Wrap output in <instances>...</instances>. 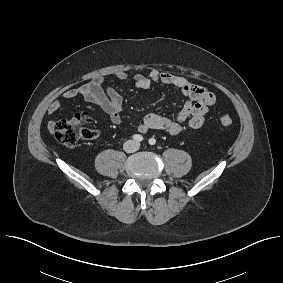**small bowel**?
<instances>
[{"instance_id": "1", "label": "small bowel", "mask_w": 283, "mask_h": 283, "mask_svg": "<svg viewBox=\"0 0 283 283\" xmlns=\"http://www.w3.org/2000/svg\"><path fill=\"white\" fill-rule=\"evenodd\" d=\"M114 76L119 80L131 78L138 88H148L154 83L165 84L177 89L186 98L182 109L172 119L154 112L146 114L137 126L138 132L142 134L156 129L170 135H179L187 129H199L204 124L209 109L215 103V96L209 89L173 73L153 69L146 74L131 76L126 72H117ZM77 97H82L106 112L113 124L121 122L123 98L113 86H104L102 78L97 77L82 86L64 92L62 95L65 100H73ZM60 110L61 103L59 101H52L47 107L48 114H55ZM54 125L55 122L51 121L49 128L52 130Z\"/></svg>"}]
</instances>
